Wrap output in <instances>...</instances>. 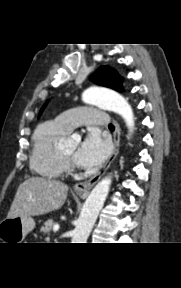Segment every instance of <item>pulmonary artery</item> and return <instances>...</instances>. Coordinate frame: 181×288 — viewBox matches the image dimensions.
Segmentation results:
<instances>
[{
    "instance_id": "1",
    "label": "pulmonary artery",
    "mask_w": 181,
    "mask_h": 288,
    "mask_svg": "<svg viewBox=\"0 0 181 288\" xmlns=\"http://www.w3.org/2000/svg\"><path fill=\"white\" fill-rule=\"evenodd\" d=\"M55 120L67 131L76 126L98 125L106 127L108 125L106 113L90 107H76L61 113Z\"/></svg>"
}]
</instances>
